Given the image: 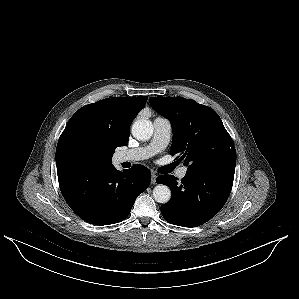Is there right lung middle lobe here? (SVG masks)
Segmentation results:
<instances>
[{
  "label": "right lung middle lobe",
  "mask_w": 299,
  "mask_h": 299,
  "mask_svg": "<svg viewBox=\"0 0 299 299\" xmlns=\"http://www.w3.org/2000/svg\"><path fill=\"white\" fill-rule=\"evenodd\" d=\"M75 151L83 153L89 152L92 149V145L88 142H84L74 146Z\"/></svg>",
  "instance_id": "obj_1"
}]
</instances>
